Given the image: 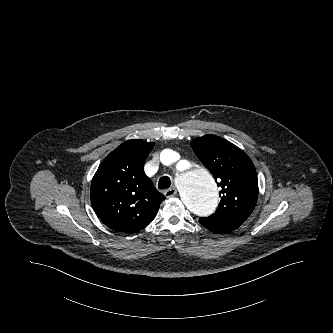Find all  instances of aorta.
Instances as JSON below:
<instances>
[{"label":"aorta","mask_w":333,"mask_h":333,"mask_svg":"<svg viewBox=\"0 0 333 333\" xmlns=\"http://www.w3.org/2000/svg\"><path fill=\"white\" fill-rule=\"evenodd\" d=\"M175 153L166 149L161 153L164 163H171ZM178 189L183 204L197 217H208L217 208L219 196L213 176L189 160L178 176Z\"/></svg>","instance_id":"1"}]
</instances>
